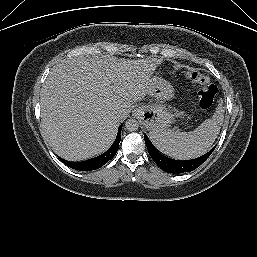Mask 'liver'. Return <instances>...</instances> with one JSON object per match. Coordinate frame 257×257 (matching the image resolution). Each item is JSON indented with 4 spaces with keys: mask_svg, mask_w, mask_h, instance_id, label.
Instances as JSON below:
<instances>
[{
    "mask_svg": "<svg viewBox=\"0 0 257 257\" xmlns=\"http://www.w3.org/2000/svg\"><path fill=\"white\" fill-rule=\"evenodd\" d=\"M160 64L157 58L106 55H80L56 64L40 98L41 126L53 151L74 162L106 151L132 102L148 95L149 81Z\"/></svg>",
    "mask_w": 257,
    "mask_h": 257,
    "instance_id": "1",
    "label": "liver"
}]
</instances>
